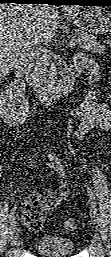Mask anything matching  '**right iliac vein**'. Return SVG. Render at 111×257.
I'll use <instances>...</instances> for the list:
<instances>
[{
    "instance_id": "obj_1",
    "label": "right iliac vein",
    "mask_w": 111,
    "mask_h": 257,
    "mask_svg": "<svg viewBox=\"0 0 111 257\" xmlns=\"http://www.w3.org/2000/svg\"><path fill=\"white\" fill-rule=\"evenodd\" d=\"M16 221H14L12 224H11V227H10V233H14L16 231Z\"/></svg>"
}]
</instances>
